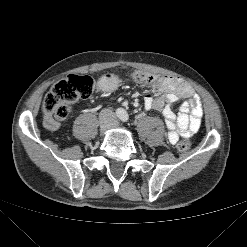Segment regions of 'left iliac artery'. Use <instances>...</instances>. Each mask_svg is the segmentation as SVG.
<instances>
[{
    "mask_svg": "<svg viewBox=\"0 0 247 247\" xmlns=\"http://www.w3.org/2000/svg\"><path fill=\"white\" fill-rule=\"evenodd\" d=\"M128 114L127 113H123L122 114V116H121V120L123 121V122H127L128 121Z\"/></svg>",
    "mask_w": 247,
    "mask_h": 247,
    "instance_id": "44dca946",
    "label": "left iliac artery"
}]
</instances>
